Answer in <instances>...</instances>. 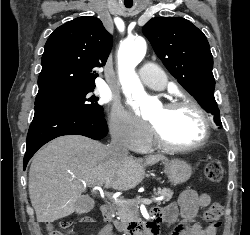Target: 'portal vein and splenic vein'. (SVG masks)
<instances>
[{"instance_id":"18ae733b","label":"portal vein and splenic vein","mask_w":250,"mask_h":235,"mask_svg":"<svg viewBox=\"0 0 250 235\" xmlns=\"http://www.w3.org/2000/svg\"><path fill=\"white\" fill-rule=\"evenodd\" d=\"M109 195V194H108ZM163 198L164 197H159V198H156L155 199V201H161V200H163ZM131 200H128V201H124V200H122V202H130ZM139 202H141V203H143V204H145V205H149V204H151L152 203V200L151 199H141V200H139Z\"/></svg>"}]
</instances>
